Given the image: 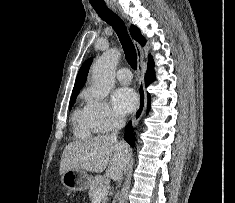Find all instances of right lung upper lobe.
<instances>
[{
  "label": "right lung upper lobe",
  "mask_w": 235,
  "mask_h": 203,
  "mask_svg": "<svg viewBox=\"0 0 235 203\" xmlns=\"http://www.w3.org/2000/svg\"><path fill=\"white\" fill-rule=\"evenodd\" d=\"M130 33H131L132 37L136 41H138L142 46L145 44V38L141 35L140 30L136 26H134V25L131 26ZM149 59H151L150 56H149ZM91 63H92V59H88L81 66V68L78 72L76 81H75V85L73 88V94L78 93V91L83 87V85L86 81L87 74H88Z\"/></svg>",
  "instance_id": "right-lung-upper-lobe-1"
}]
</instances>
